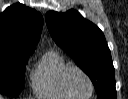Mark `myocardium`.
<instances>
[{
  "label": "myocardium",
  "instance_id": "myocardium-1",
  "mask_svg": "<svg viewBox=\"0 0 128 99\" xmlns=\"http://www.w3.org/2000/svg\"><path fill=\"white\" fill-rule=\"evenodd\" d=\"M73 71H78L79 73H81L86 78V80L88 81L89 86H90V93L86 97H81V98H90L94 93V84L92 82V79L88 75V73L79 66L71 65L66 68V70L64 71V73L62 75L63 88L70 96L79 97L71 91L69 84H68V77H69L70 73Z\"/></svg>",
  "mask_w": 128,
  "mask_h": 99
}]
</instances>
